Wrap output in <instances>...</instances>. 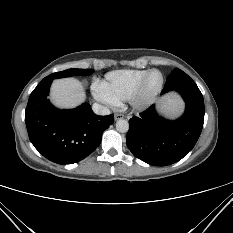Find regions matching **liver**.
Wrapping results in <instances>:
<instances>
[{"mask_svg":"<svg viewBox=\"0 0 233 233\" xmlns=\"http://www.w3.org/2000/svg\"><path fill=\"white\" fill-rule=\"evenodd\" d=\"M85 90L75 78L55 80L51 85L50 99L59 108H74L85 100Z\"/></svg>","mask_w":233,"mask_h":233,"instance_id":"obj_1","label":"liver"}]
</instances>
